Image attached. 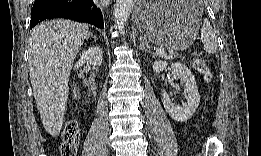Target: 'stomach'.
<instances>
[{
  "label": "stomach",
  "mask_w": 261,
  "mask_h": 156,
  "mask_svg": "<svg viewBox=\"0 0 261 156\" xmlns=\"http://www.w3.org/2000/svg\"><path fill=\"white\" fill-rule=\"evenodd\" d=\"M202 9L196 2L138 3L134 17L140 33L150 42L173 50H185L196 39Z\"/></svg>",
  "instance_id": "obj_1"
}]
</instances>
